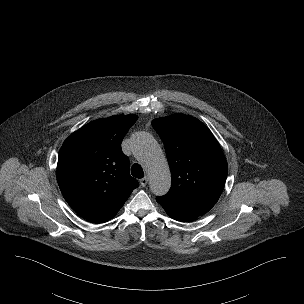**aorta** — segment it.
Wrapping results in <instances>:
<instances>
[{
	"mask_svg": "<svg viewBox=\"0 0 304 304\" xmlns=\"http://www.w3.org/2000/svg\"><path fill=\"white\" fill-rule=\"evenodd\" d=\"M132 149L149 174L152 193L157 196L165 195L171 186V174L156 140L146 132H139L132 140Z\"/></svg>",
	"mask_w": 304,
	"mask_h": 304,
	"instance_id": "aorta-1",
	"label": "aorta"
}]
</instances>
